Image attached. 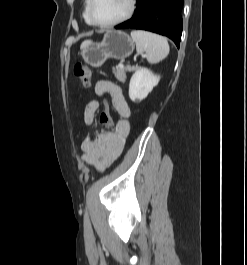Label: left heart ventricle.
<instances>
[{
  "mask_svg": "<svg viewBox=\"0 0 247 265\" xmlns=\"http://www.w3.org/2000/svg\"><path fill=\"white\" fill-rule=\"evenodd\" d=\"M129 6V0H94L92 14L100 23H109L123 16Z\"/></svg>",
  "mask_w": 247,
  "mask_h": 265,
  "instance_id": "left-heart-ventricle-1",
  "label": "left heart ventricle"
}]
</instances>
